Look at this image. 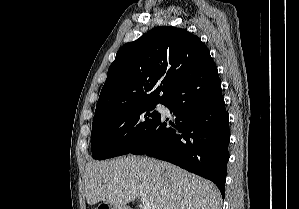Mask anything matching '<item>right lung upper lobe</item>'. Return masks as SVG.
I'll return each mask as SVG.
<instances>
[{
  "mask_svg": "<svg viewBox=\"0 0 299 209\" xmlns=\"http://www.w3.org/2000/svg\"><path fill=\"white\" fill-rule=\"evenodd\" d=\"M205 69L217 71L200 38L186 29L156 27L119 49L95 115L122 106L163 102L180 82Z\"/></svg>",
  "mask_w": 299,
  "mask_h": 209,
  "instance_id": "1",
  "label": "right lung upper lobe"
}]
</instances>
